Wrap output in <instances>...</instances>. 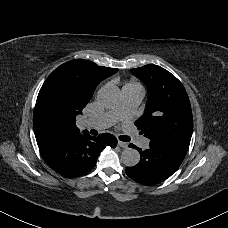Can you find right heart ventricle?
Returning a JSON list of instances; mask_svg holds the SVG:
<instances>
[{
  "label": "right heart ventricle",
  "mask_w": 228,
  "mask_h": 228,
  "mask_svg": "<svg viewBox=\"0 0 228 228\" xmlns=\"http://www.w3.org/2000/svg\"><path fill=\"white\" fill-rule=\"evenodd\" d=\"M135 84L134 79H130L127 82L122 83L118 76H113L110 81V85L117 89L118 96L121 94H126L130 88Z\"/></svg>",
  "instance_id": "right-heart-ventricle-1"
}]
</instances>
